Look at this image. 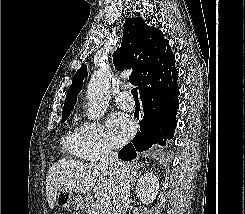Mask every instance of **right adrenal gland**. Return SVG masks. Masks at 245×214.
<instances>
[{
	"label": "right adrenal gland",
	"instance_id": "obj_1",
	"mask_svg": "<svg viewBox=\"0 0 245 214\" xmlns=\"http://www.w3.org/2000/svg\"><path fill=\"white\" fill-rule=\"evenodd\" d=\"M143 163L141 164H136L134 167H133V170L131 171V189L134 188V185H135V177L136 176H140L141 175V172L139 171L141 167H143Z\"/></svg>",
	"mask_w": 245,
	"mask_h": 214
}]
</instances>
